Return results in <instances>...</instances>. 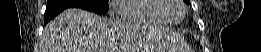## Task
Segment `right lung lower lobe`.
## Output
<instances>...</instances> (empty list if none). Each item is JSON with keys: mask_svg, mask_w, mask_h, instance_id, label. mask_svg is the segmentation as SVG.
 <instances>
[{"mask_svg": "<svg viewBox=\"0 0 261 52\" xmlns=\"http://www.w3.org/2000/svg\"><path fill=\"white\" fill-rule=\"evenodd\" d=\"M66 8L70 7L64 5H47L45 11V24Z\"/></svg>", "mask_w": 261, "mask_h": 52, "instance_id": "98d812e1", "label": "right lung lower lobe"}]
</instances>
